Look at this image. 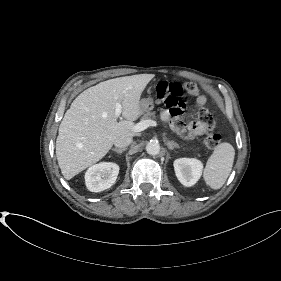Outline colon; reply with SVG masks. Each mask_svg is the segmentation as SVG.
<instances>
[{"label": "colon", "mask_w": 281, "mask_h": 281, "mask_svg": "<svg viewBox=\"0 0 281 281\" xmlns=\"http://www.w3.org/2000/svg\"><path fill=\"white\" fill-rule=\"evenodd\" d=\"M197 92L198 87L192 81L185 83L161 81L156 86L157 98L164 102L173 118L183 114L188 97L195 95ZM199 123L204 132H208L204 140L205 145L209 148H216L220 144L221 138L218 133L213 132L214 120L206 109L200 111Z\"/></svg>", "instance_id": "5ec220e1"}]
</instances>
